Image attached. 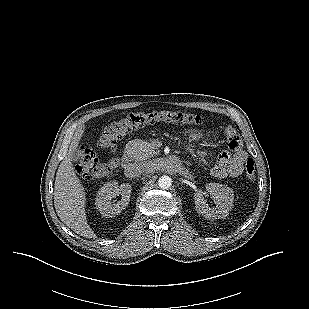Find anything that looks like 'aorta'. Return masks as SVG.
<instances>
[{"mask_svg": "<svg viewBox=\"0 0 309 309\" xmlns=\"http://www.w3.org/2000/svg\"><path fill=\"white\" fill-rule=\"evenodd\" d=\"M158 185L163 189H167L172 185V179L167 175H163L158 179Z\"/></svg>", "mask_w": 309, "mask_h": 309, "instance_id": "obj_1", "label": "aorta"}]
</instances>
